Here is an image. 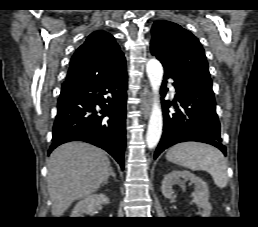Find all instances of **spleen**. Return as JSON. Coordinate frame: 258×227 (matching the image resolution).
<instances>
[{"instance_id":"obj_1","label":"spleen","mask_w":258,"mask_h":227,"mask_svg":"<svg viewBox=\"0 0 258 227\" xmlns=\"http://www.w3.org/2000/svg\"><path fill=\"white\" fill-rule=\"evenodd\" d=\"M166 159L191 170L206 171L211 174L216 186L219 188L227 186L226 160L213 146L198 142L179 143L168 150Z\"/></svg>"}]
</instances>
